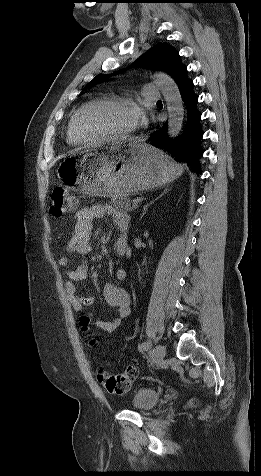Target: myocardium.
I'll return each mask as SVG.
<instances>
[{
	"label": "myocardium",
	"instance_id": "obj_1",
	"mask_svg": "<svg viewBox=\"0 0 261 476\" xmlns=\"http://www.w3.org/2000/svg\"><path fill=\"white\" fill-rule=\"evenodd\" d=\"M96 105H118V106L129 107L134 110L138 109V106L135 103L126 99H121V98H97L85 103L75 112L72 118V129L76 138L80 142L101 143L105 141H124L129 139L133 135L136 127H133L132 129L120 134H108V135H101V136H94V137L86 136L81 131V128H80V124H79L80 117L87 109Z\"/></svg>",
	"mask_w": 261,
	"mask_h": 476
}]
</instances>
